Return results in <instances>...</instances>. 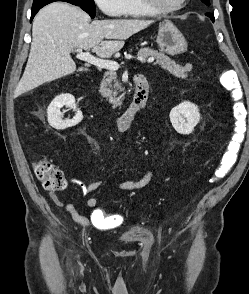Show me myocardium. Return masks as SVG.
<instances>
[{
  "instance_id": "myocardium-1",
  "label": "myocardium",
  "mask_w": 249,
  "mask_h": 294,
  "mask_svg": "<svg viewBox=\"0 0 249 294\" xmlns=\"http://www.w3.org/2000/svg\"><path fill=\"white\" fill-rule=\"evenodd\" d=\"M143 5L151 11L153 15H166L182 9L189 0H182L178 5L173 7L162 8L157 5L155 0H141Z\"/></svg>"
}]
</instances>
